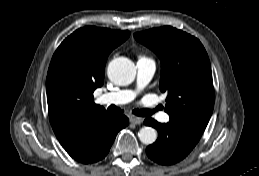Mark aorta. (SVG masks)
<instances>
[{
    "instance_id": "1",
    "label": "aorta",
    "mask_w": 259,
    "mask_h": 176,
    "mask_svg": "<svg viewBox=\"0 0 259 176\" xmlns=\"http://www.w3.org/2000/svg\"><path fill=\"white\" fill-rule=\"evenodd\" d=\"M109 79L117 85L130 84L136 75V67L134 63L125 57H117L113 59L107 69ZM138 137L143 144H153L157 139V131L152 127H142L138 133Z\"/></svg>"
}]
</instances>
